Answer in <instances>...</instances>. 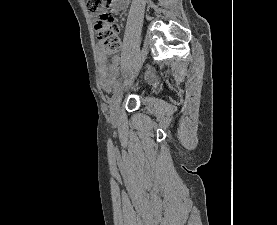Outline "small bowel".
I'll return each instance as SVG.
<instances>
[{
    "label": "small bowel",
    "mask_w": 277,
    "mask_h": 225,
    "mask_svg": "<svg viewBox=\"0 0 277 225\" xmlns=\"http://www.w3.org/2000/svg\"><path fill=\"white\" fill-rule=\"evenodd\" d=\"M127 5V0H117L115 4L116 10H122ZM122 55H116L112 58L111 62H108V57L99 53L98 55V75L99 80L104 89L109 90L112 87L118 85L120 78V67L122 63Z\"/></svg>",
    "instance_id": "1"
}]
</instances>
